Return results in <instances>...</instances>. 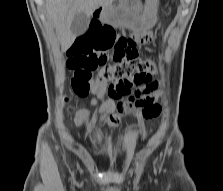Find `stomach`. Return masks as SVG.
I'll list each match as a JSON object with an SVG mask.
<instances>
[{
  "mask_svg": "<svg viewBox=\"0 0 223 191\" xmlns=\"http://www.w3.org/2000/svg\"><path fill=\"white\" fill-rule=\"evenodd\" d=\"M139 0H121L117 7L102 8L99 19L115 27L126 28L131 31H145L156 22L158 0H145L142 12L136 15L133 6Z\"/></svg>",
  "mask_w": 223,
  "mask_h": 191,
  "instance_id": "stomach-1",
  "label": "stomach"
}]
</instances>
